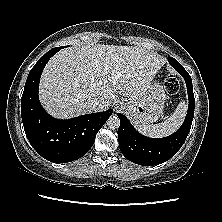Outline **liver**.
I'll return each instance as SVG.
<instances>
[{
	"label": "liver",
	"mask_w": 222,
	"mask_h": 222,
	"mask_svg": "<svg viewBox=\"0 0 222 222\" xmlns=\"http://www.w3.org/2000/svg\"><path fill=\"white\" fill-rule=\"evenodd\" d=\"M165 63L156 53L133 46L85 44L60 50L41 76L39 95L52 116L68 119L89 113L85 101L97 98L98 111L123 95L141 96Z\"/></svg>",
	"instance_id": "1"
}]
</instances>
